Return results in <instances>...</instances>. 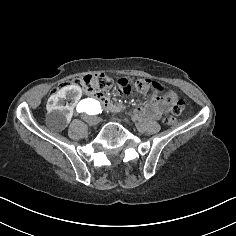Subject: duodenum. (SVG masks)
I'll return each instance as SVG.
<instances>
[{"label":"duodenum","instance_id":"obj_1","mask_svg":"<svg viewBox=\"0 0 236 236\" xmlns=\"http://www.w3.org/2000/svg\"><path fill=\"white\" fill-rule=\"evenodd\" d=\"M94 101H96L102 110L108 113L119 114L122 113L125 108L122 104L114 102L108 95L101 91H91L87 93Z\"/></svg>","mask_w":236,"mask_h":236}]
</instances>
